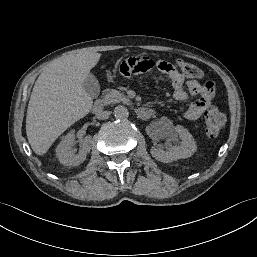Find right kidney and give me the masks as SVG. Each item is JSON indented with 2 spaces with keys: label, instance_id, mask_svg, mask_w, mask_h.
I'll return each mask as SVG.
<instances>
[{
  "label": "right kidney",
  "instance_id": "right-kidney-1",
  "mask_svg": "<svg viewBox=\"0 0 257 257\" xmlns=\"http://www.w3.org/2000/svg\"><path fill=\"white\" fill-rule=\"evenodd\" d=\"M74 141L75 135L74 131L72 130L64 136L62 141L57 146L56 155L61 164L66 166H77L85 161L86 156L91 149L92 137L86 136L83 140H81V148L77 154L73 149Z\"/></svg>",
  "mask_w": 257,
  "mask_h": 257
}]
</instances>
